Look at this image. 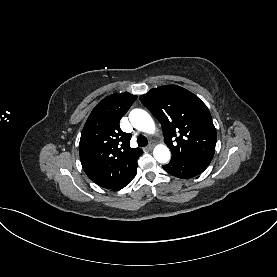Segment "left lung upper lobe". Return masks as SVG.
<instances>
[{
	"mask_svg": "<svg viewBox=\"0 0 277 277\" xmlns=\"http://www.w3.org/2000/svg\"><path fill=\"white\" fill-rule=\"evenodd\" d=\"M140 100L160 121L172 158L212 160L216 129L208 108L196 95L167 85L151 89Z\"/></svg>",
	"mask_w": 277,
	"mask_h": 277,
	"instance_id": "left-lung-upper-lobe-1",
	"label": "left lung upper lobe"
}]
</instances>
